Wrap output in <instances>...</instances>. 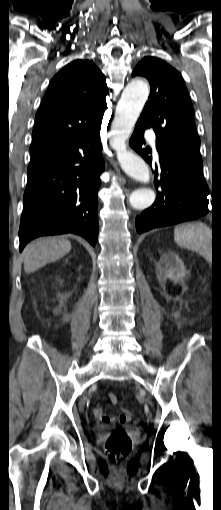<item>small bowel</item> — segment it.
<instances>
[{
  "label": "small bowel",
  "instance_id": "obj_1",
  "mask_svg": "<svg viewBox=\"0 0 221 510\" xmlns=\"http://www.w3.org/2000/svg\"><path fill=\"white\" fill-rule=\"evenodd\" d=\"M112 395V394H110ZM109 395V396H110ZM93 414L95 417L101 419L102 421L104 422H111V421H114L115 418L113 417H110L108 416L106 413H105V410H104V406L103 404L99 403L97 404L94 409H93Z\"/></svg>",
  "mask_w": 221,
  "mask_h": 510
}]
</instances>
